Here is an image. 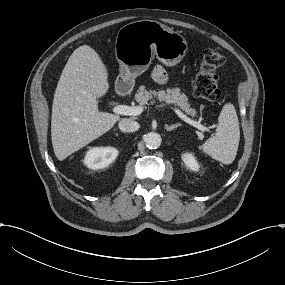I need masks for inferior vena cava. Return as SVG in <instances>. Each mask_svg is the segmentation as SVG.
<instances>
[{
  "instance_id": "obj_1",
  "label": "inferior vena cava",
  "mask_w": 285,
  "mask_h": 285,
  "mask_svg": "<svg viewBox=\"0 0 285 285\" xmlns=\"http://www.w3.org/2000/svg\"><path fill=\"white\" fill-rule=\"evenodd\" d=\"M119 128L123 132H135L139 129V123L131 119H121L119 122Z\"/></svg>"
}]
</instances>
